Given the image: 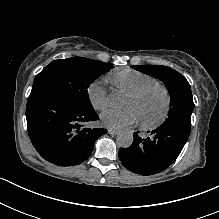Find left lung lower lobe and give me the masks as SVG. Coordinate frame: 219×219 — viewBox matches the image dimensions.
I'll list each match as a JSON object with an SVG mask.
<instances>
[{"label": "left lung lower lobe", "instance_id": "obj_1", "mask_svg": "<svg viewBox=\"0 0 219 219\" xmlns=\"http://www.w3.org/2000/svg\"><path fill=\"white\" fill-rule=\"evenodd\" d=\"M191 126L171 122L162 124L149 136L141 138L134 133V140L128 148L119 150L122 165L140 175L157 174L168 168L181 153L190 134Z\"/></svg>", "mask_w": 219, "mask_h": 219}]
</instances>
